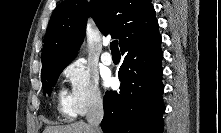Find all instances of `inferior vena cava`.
I'll list each match as a JSON object with an SVG mask.
<instances>
[{
    "label": "inferior vena cava",
    "instance_id": "inferior-vena-cava-1",
    "mask_svg": "<svg viewBox=\"0 0 221 133\" xmlns=\"http://www.w3.org/2000/svg\"><path fill=\"white\" fill-rule=\"evenodd\" d=\"M104 110H103V101L101 97L96 98L93 105L88 111L87 122L91 127L92 133H101L99 125L103 119Z\"/></svg>",
    "mask_w": 221,
    "mask_h": 133
}]
</instances>
